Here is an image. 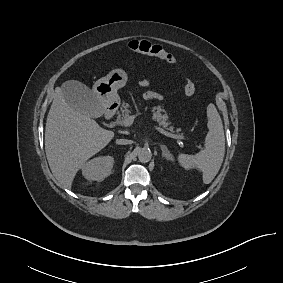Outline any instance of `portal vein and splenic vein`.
Returning <instances> with one entry per match:
<instances>
[{
    "instance_id": "18ae733b",
    "label": "portal vein and splenic vein",
    "mask_w": 283,
    "mask_h": 283,
    "mask_svg": "<svg viewBox=\"0 0 283 283\" xmlns=\"http://www.w3.org/2000/svg\"><path fill=\"white\" fill-rule=\"evenodd\" d=\"M135 116L133 115H129L123 122L121 125L124 126H130L133 122H134ZM154 128L159 131L161 134L173 138V139H177V140H186V138L184 136L181 135H176V134H172L170 132L165 131L163 128L158 127L156 125H154Z\"/></svg>"
}]
</instances>
